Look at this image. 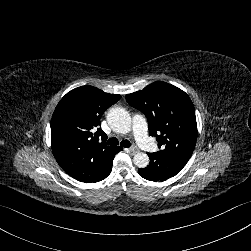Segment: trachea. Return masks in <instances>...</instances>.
Returning <instances> with one entry per match:
<instances>
[{
	"label": "trachea",
	"mask_w": 251,
	"mask_h": 251,
	"mask_svg": "<svg viewBox=\"0 0 251 251\" xmlns=\"http://www.w3.org/2000/svg\"><path fill=\"white\" fill-rule=\"evenodd\" d=\"M106 143L108 145H111V146L119 144L118 140L115 137L108 139ZM121 146H123V147H131V143L128 140H123L121 142Z\"/></svg>",
	"instance_id": "trachea-1"
}]
</instances>
